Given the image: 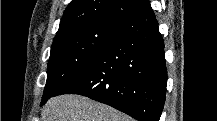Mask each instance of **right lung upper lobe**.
Segmentation results:
<instances>
[{"label": "right lung upper lobe", "instance_id": "cb5924a9", "mask_svg": "<svg viewBox=\"0 0 217 121\" xmlns=\"http://www.w3.org/2000/svg\"><path fill=\"white\" fill-rule=\"evenodd\" d=\"M148 6L149 0H72L64 12L55 38L76 25L93 20L127 22Z\"/></svg>", "mask_w": 217, "mask_h": 121}]
</instances>
